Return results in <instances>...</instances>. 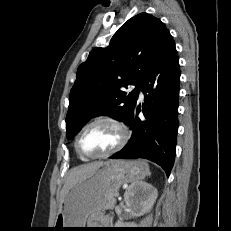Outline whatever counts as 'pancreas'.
Segmentation results:
<instances>
[{
  "label": "pancreas",
  "instance_id": "1",
  "mask_svg": "<svg viewBox=\"0 0 231 231\" xmlns=\"http://www.w3.org/2000/svg\"><path fill=\"white\" fill-rule=\"evenodd\" d=\"M116 194L117 193H115L114 195L110 196L107 208H113L114 207V205L116 203V199H115Z\"/></svg>",
  "mask_w": 231,
  "mask_h": 231
}]
</instances>
